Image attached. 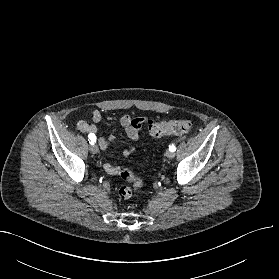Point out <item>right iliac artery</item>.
I'll list each match as a JSON object with an SVG mask.
<instances>
[{"instance_id":"1","label":"right iliac artery","mask_w":279,"mask_h":279,"mask_svg":"<svg viewBox=\"0 0 279 279\" xmlns=\"http://www.w3.org/2000/svg\"><path fill=\"white\" fill-rule=\"evenodd\" d=\"M90 144H93L96 141V136L94 134H89Z\"/></svg>"}]
</instances>
